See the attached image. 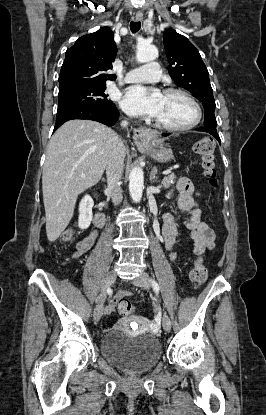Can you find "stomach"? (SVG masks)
Masks as SVG:
<instances>
[{"label": "stomach", "mask_w": 266, "mask_h": 415, "mask_svg": "<svg viewBox=\"0 0 266 415\" xmlns=\"http://www.w3.org/2000/svg\"><path fill=\"white\" fill-rule=\"evenodd\" d=\"M138 148L142 152L150 153L152 158L158 162H167L173 158L172 150L154 138L141 141Z\"/></svg>", "instance_id": "0dacf381"}]
</instances>
